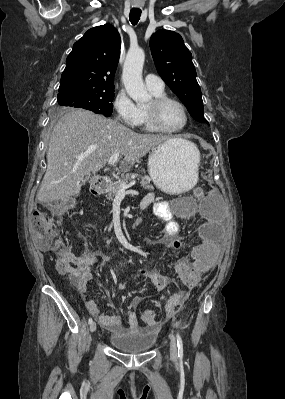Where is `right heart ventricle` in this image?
<instances>
[{
    "label": "right heart ventricle",
    "instance_id": "e07e8e85",
    "mask_svg": "<svg viewBox=\"0 0 285 399\" xmlns=\"http://www.w3.org/2000/svg\"><path fill=\"white\" fill-rule=\"evenodd\" d=\"M150 92H151V94L154 97H158V96L164 95V91L163 90H161V91H150ZM139 116H140V120H139V124L138 125L142 126L143 130L148 131V132H156L151 127V125L148 122V118H147V114H146L145 108H139Z\"/></svg>",
    "mask_w": 285,
    "mask_h": 399
}]
</instances>
